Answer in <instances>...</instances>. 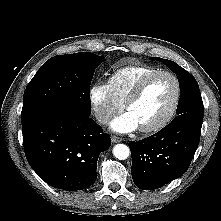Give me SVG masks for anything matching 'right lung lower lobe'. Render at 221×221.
<instances>
[{"label":"right lung lower lobe","instance_id":"obj_1","mask_svg":"<svg viewBox=\"0 0 221 221\" xmlns=\"http://www.w3.org/2000/svg\"><path fill=\"white\" fill-rule=\"evenodd\" d=\"M23 146L32 169L48 185L73 191L94 184L100 153L111 145L90 114L49 107L22 123Z\"/></svg>","mask_w":221,"mask_h":221}]
</instances>
